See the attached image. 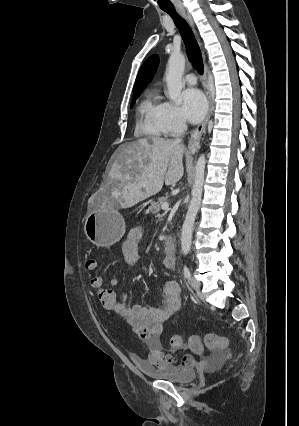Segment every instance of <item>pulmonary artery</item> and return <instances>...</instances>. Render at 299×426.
I'll return each instance as SVG.
<instances>
[{
  "mask_svg": "<svg viewBox=\"0 0 299 426\" xmlns=\"http://www.w3.org/2000/svg\"><path fill=\"white\" fill-rule=\"evenodd\" d=\"M184 80L189 85H194V84H196V81H197L196 76L193 73L187 74L184 77Z\"/></svg>",
  "mask_w": 299,
  "mask_h": 426,
  "instance_id": "1",
  "label": "pulmonary artery"
}]
</instances>
